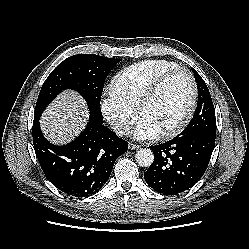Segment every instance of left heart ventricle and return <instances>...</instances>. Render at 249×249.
<instances>
[{"instance_id": "left-heart-ventricle-1", "label": "left heart ventricle", "mask_w": 249, "mask_h": 249, "mask_svg": "<svg viewBox=\"0 0 249 249\" xmlns=\"http://www.w3.org/2000/svg\"><path fill=\"white\" fill-rule=\"evenodd\" d=\"M190 83L184 72L169 77L155 98L145 108L146 118L163 131L177 123L186 112L190 100Z\"/></svg>"}]
</instances>
